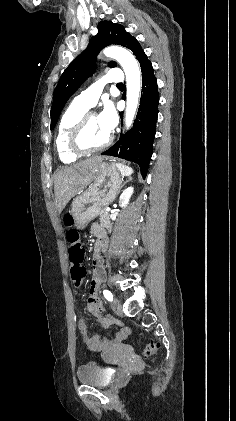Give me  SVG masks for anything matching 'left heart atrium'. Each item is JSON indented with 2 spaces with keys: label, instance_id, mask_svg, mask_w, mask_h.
Returning <instances> with one entry per match:
<instances>
[{
  "label": "left heart atrium",
  "instance_id": "obj_1",
  "mask_svg": "<svg viewBox=\"0 0 236 421\" xmlns=\"http://www.w3.org/2000/svg\"><path fill=\"white\" fill-rule=\"evenodd\" d=\"M99 117L107 132L111 133L116 127L118 121L113 106L108 104Z\"/></svg>",
  "mask_w": 236,
  "mask_h": 421
}]
</instances>
